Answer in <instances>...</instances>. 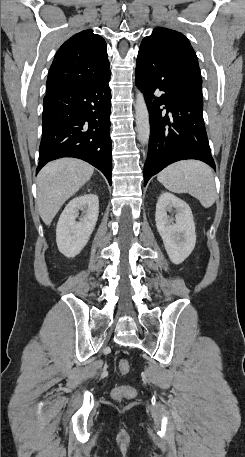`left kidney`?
<instances>
[{
    "mask_svg": "<svg viewBox=\"0 0 245 457\" xmlns=\"http://www.w3.org/2000/svg\"><path fill=\"white\" fill-rule=\"evenodd\" d=\"M172 208L176 212L175 222L167 214ZM155 220L170 261L180 265L191 255L196 243L195 222L189 204L171 192H162L157 200Z\"/></svg>",
    "mask_w": 245,
    "mask_h": 457,
    "instance_id": "obj_1",
    "label": "left kidney"
}]
</instances>
